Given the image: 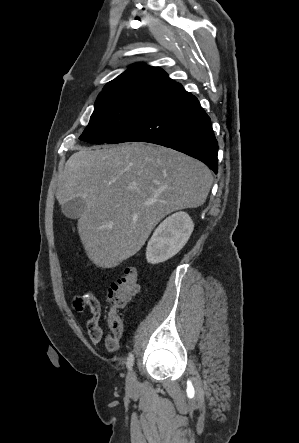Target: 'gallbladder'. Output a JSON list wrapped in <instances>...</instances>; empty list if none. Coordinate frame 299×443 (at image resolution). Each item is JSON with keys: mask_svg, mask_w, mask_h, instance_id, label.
<instances>
[{"mask_svg": "<svg viewBox=\"0 0 299 443\" xmlns=\"http://www.w3.org/2000/svg\"><path fill=\"white\" fill-rule=\"evenodd\" d=\"M85 209L86 201L82 197L70 199L61 206L62 213L70 219L79 218L84 213Z\"/></svg>", "mask_w": 299, "mask_h": 443, "instance_id": "1", "label": "gallbladder"}]
</instances>
